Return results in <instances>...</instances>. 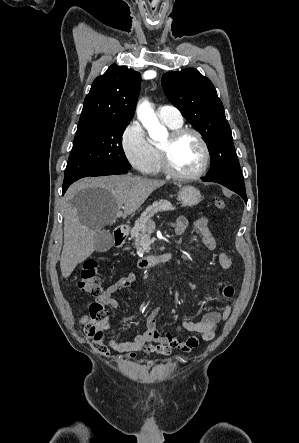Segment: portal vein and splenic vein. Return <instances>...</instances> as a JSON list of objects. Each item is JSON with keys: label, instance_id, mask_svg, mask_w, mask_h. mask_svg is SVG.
<instances>
[{"label": "portal vein and splenic vein", "instance_id": "1", "mask_svg": "<svg viewBox=\"0 0 299 443\" xmlns=\"http://www.w3.org/2000/svg\"><path fill=\"white\" fill-rule=\"evenodd\" d=\"M121 215H122V212H121V211L117 213V217H119V216H121Z\"/></svg>", "mask_w": 299, "mask_h": 443}]
</instances>
